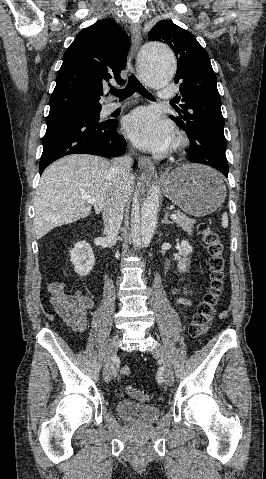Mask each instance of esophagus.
I'll list each match as a JSON object with an SVG mask.
<instances>
[{
    "mask_svg": "<svg viewBox=\"0 0 266 479\" xmlns=\"http://www.w3.org/2000/svg\"><path fill=\"white\" fill-rule=\"evenodd\" d=\"M142 41V34L139 24L133 23L131 25V51L130 62L135 57ZM132 66V65H131ZM138 166L141 170L146 169L150 172L154 171V165L150 158L140 155L138 158Z\"/></svg>",
    "mask_w": 266,
    "mask_h": 479,
    "instance_id": "34e87169",
    "label": "esophagus"
}]
</instances>
